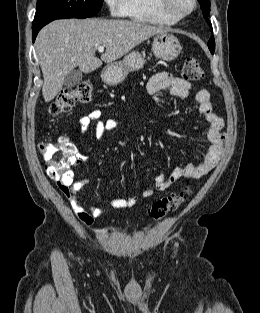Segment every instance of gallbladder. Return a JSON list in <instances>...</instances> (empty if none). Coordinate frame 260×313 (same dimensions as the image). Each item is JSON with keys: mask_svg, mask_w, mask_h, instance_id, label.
<instances>
[{"mask_svg": "<svg viewBox=\"0 0 260 313\" xmlns=\"http://www.w3.org/2000/svg\"><path fill=\"white\" fill-rule=\"evenodd\" d=\"M83 78V73L80 70L70 71L64 79V86L72 88L80 83Z\"/></svg>", "mask_w": 260, "mask_h": 313, "instance_id": "1", "label": "gallbladder"}]
</instances>
